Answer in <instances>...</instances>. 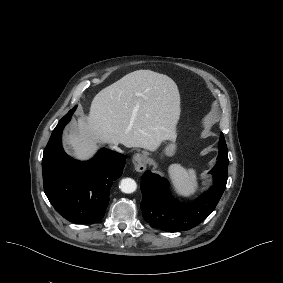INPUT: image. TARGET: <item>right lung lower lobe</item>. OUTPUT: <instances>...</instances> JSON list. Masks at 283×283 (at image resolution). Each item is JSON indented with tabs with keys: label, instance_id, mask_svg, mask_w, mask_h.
Listing matches in <instances>:
<instances>
[{
	"label": "right lung lower lobe",
	"instance_id": "1",
	"mask_svg": "<svg viewBox=\"0 0 283 283\" xmlns=\"http://www.w3.org/2000/svg\"><path fill=\"white\" fill-rule=\"evenodd\" d=\"M75 109L76 106L60 120L44 150V191L65 219L91 224L104 217L110 188L122 175L126 157L107 149H101L87 162L69 157L62 148L61 136Z\"/></svg>",
	"mask_w": 283,
	"mask_h": 283
}]
</instances>
